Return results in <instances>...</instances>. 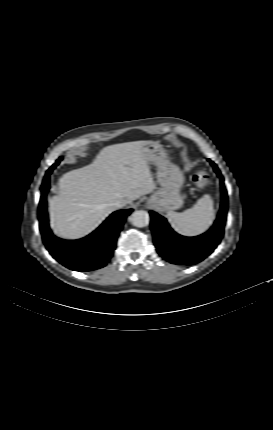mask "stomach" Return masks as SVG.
Here are the masks:
<instances>
[{
	"label": "stomach",
	"instance_id": "stomach-1",
	"mask_svg": "<svg viewBox=\"0 0 273 430\" xmlns=\"http://www.w3.org/2000/svg\"><path fill=\"white\" fill-rule=\"evenodd\" d=\"M143 154L148 164L157 166V182L160 185L149 198L148 204L161 211L179 209L184 200L180 193L185 180L183 173L168 160L164 148L158 142L147 141L143 146Z\"/></svg>",
	"mask_w": 273,
	"mask_h": 430
}]
</instances>
